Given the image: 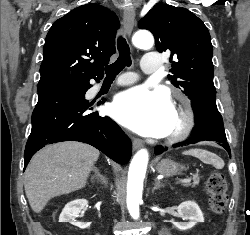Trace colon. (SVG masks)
I'll list each match as a JSON object with an SVG mask.
<instances>
[{
    "label": "colon",
    "mask_w": 250,
    "mask_h": 235,
    "mask_svg": "<svg viewBox=\"0 0 250 235\" xmlns=\"http://www.w3.org/2000/svg\"><path fill=\"white\" fill-rule=\"evenodd\" d=\"M206 189L211 211L222 214L228 202V184L223 172L213 171L207 178Z\"/></svg>",
    "instance_id": "1"
}]
</instances>
